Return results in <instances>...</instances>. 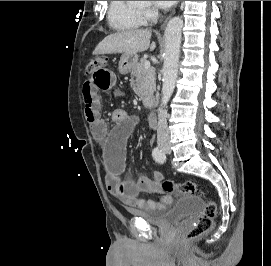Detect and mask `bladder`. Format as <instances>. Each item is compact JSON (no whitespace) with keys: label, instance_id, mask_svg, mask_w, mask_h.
<instances>
[{"label":"bladder","instance_id":"1","mask_svg":"<svg viewBox=\"0 0 271 266\" xmlns=\"http://www.w3.org/2000/svg\"><path fill=\"white\" fill-rule=\"evenodd\" d=\"M202 207L203 201L200 197L196 195H188L156 215L136 210H131V214L133 217L142 219L150 225L165 227L182 220L184 217L200 210Z\"/></svg>","mask_w":271,"mask_h":266}]
</instances>
